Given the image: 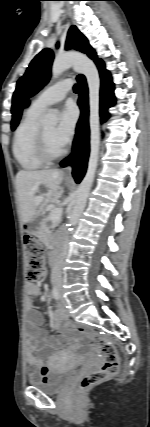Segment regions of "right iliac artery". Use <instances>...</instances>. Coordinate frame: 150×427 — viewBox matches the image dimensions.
<instances>
[{
    "instance_id": "1",
    "label": "right iliac artery",
    "mask_w": 150,
    "mask_h": 427,
    "mask_svg": "<svg viewBox=\"0 0 150 427\" xmlns=\"http://www.w3.org/2000/svg\"><path fill=\"white\" fill-rule=\"evenodd\" d=\"M52 295H53V297L56 300H59L60 295H59V292H58V288L56 286H54L53 289H52Z\"/></svg>"
}]
</instances>
